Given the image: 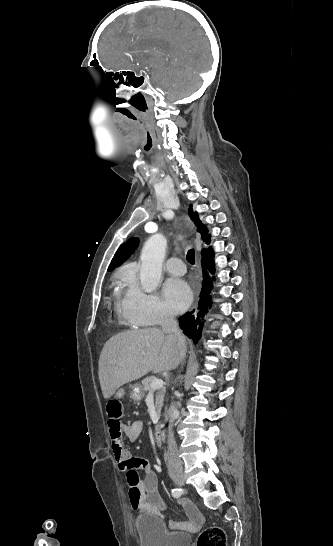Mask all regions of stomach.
Instances as JSON below:
<instances>
[{"label": "stomach", "instance_id": "stomach-1", "mask_svg": "<svg viewBox=\"0 0 333 546\" xmlns=\"http://www.w3.org/2000/svg\"><path fill=\"white\" fill-rule=\"evenodd\" d=\"M130 398L134 401H140L143 399L145 393L143 391V388L140 384H134L130 387Z\"/></svg>", "mask_w": 333, "mask_h": 546}]
</instances>
